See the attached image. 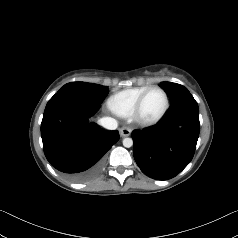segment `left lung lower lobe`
<instances>
[{"instance_id":"left-lung-lower-lobe-1","label":"left lung lower lobe","mask_w":238,"mask_h":238,"mask_svg":"<svg viewBox=\"0 0 238 238\" xmlns=\"http://www.w3.org/2000/svg\"><path fill=\"white\" fill-rule=\"evenodd\" d=\"M198 137L199 108L188 93L171 103L159 124L132 132L134 159L148 177L171 179L192 160Z\"/></svg>"}]
</instances>
